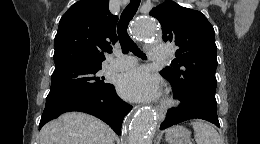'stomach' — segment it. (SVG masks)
I'll use <instances>...</instances> for the list:
<instances>
[{"label": "stomach", "instance_id": "stomach-1", "mask_svg": "<svg viewBox=\"0 0 260 144\" xmlns=\"http://www.w3.org/2000/svg\"><path fill=\"white\" fill-rule=\"evenodd\" d=\"M190 131L183 126H173L166 130L165 138L168 144H190Z\"/></svg>", "mask_w": 260, "mask_h": 144}]
</instances>
